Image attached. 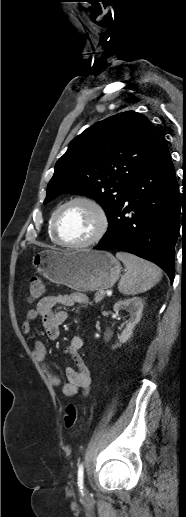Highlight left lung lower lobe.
<instances>
[{"label": "left lung lower lobe", "instance_id": "1", "mask_svg": "<svg viewBox=\"0 0 186 517\" xmlns=\"http://www.w3.org/2000/svg\"><path fill=\"white\" fill-rule=\"evenodd\" d=\"M180 212L179 186L164 140L129 182L124 201L109 219L106 234L94 248L118 249L150 260L173 282Z\"/></svg>", "mask_w": 186, "mask_h": 517}]
</instances>
